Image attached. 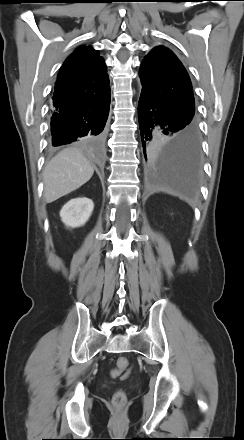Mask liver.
<instances>
[{
  "instance_id": "6515ba94",
  "label": "liver",
  "mask_w": 244,
  "mask_h": 440,
  "mask_svg": "<svg viewBox=\"0 0 244 440\" xmlns=\"http://www.w3.org/2000/svg\"><path fill=\"white\" fill-rule=\"evenodd\" d=\"M94 168L77 148L59 152L46 165L43 172L44 198L47 203L78 189L90 180Z\"/></svg>"
}]
</instances>
